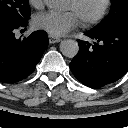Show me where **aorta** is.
<instances>
[{
	"mask_svg": "<svg viewBox=\"0 0 128 128\" xmlns=\"http://www.w3.org/2000/svg\"><path fill=\"white\" fill-rule=\"evenodd\" d=\"M46 5L55 10L62 9L65 5V0H44ZM60 51L61 53L68 57L73 58L78 54L79 45L78 42L72 39H66L61 41L60 43Z\"/></svg>",
	"mask_w": 128,
	"mask_h": 128,
	"instance_id": "obj_1",
	"label": "aorta"
}]
</instances>
